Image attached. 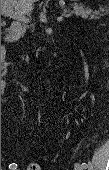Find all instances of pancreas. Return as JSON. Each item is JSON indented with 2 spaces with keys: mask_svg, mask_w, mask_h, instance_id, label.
Here are the masks:
<instances>
[{
  "mask_svg": "<svg viewBox=\"0 0 109 170\" xmlns=\"http://www.w3.org/2000/svg\"><path fill=\"white\" fill-rule=\"evenodd\" d=\"M101 11L104 12V10ZM72 13H74L76 16L90 19H99L101 16H103V14H101L99 11H93L92 9L84 8L76 4L73 6Z\"/></svg>",
  "mask_w": 109,
  "mask_h": 170,
  "instance_id": "cf45deb5",
  "label": "pancreas"
}]
</instances>
